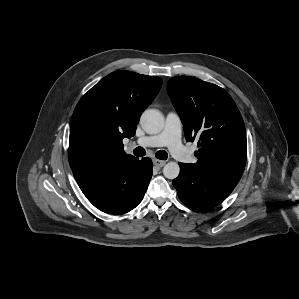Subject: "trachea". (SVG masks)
Returning a JSON list of instances; mask_svg holds the SVG:
<instances>
[{
	"instance_id": "trachea-1",
	"label": "trachea",
	"mask_w": 299,
	"mask_h": 299,
	"mask_svg": "<svg viewBox=\"0 0 299 299\" xmlns=\"http://www.w3.org/2000/svg\"><path fill=\"white\" fill-rule=\"evenodd\" d=\"M133 153L137 157H142L146 154V151L142 147H137L134 149ZM155 156L160 160H166L168 158V154L164 150H159L158 152H156Z\"/></svg>"
}]
</instances>
